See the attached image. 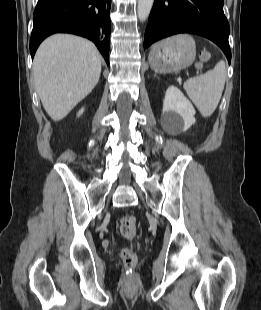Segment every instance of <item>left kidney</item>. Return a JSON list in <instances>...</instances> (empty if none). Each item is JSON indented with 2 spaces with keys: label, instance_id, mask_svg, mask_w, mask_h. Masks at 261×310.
Segmentation results:
<instances>
[{
  "label": "left kidney",
  "instance_id": "obj_1",
  "mask_svg": "<svg viewBox=\"0 0 261 310\" xmlns=\"http://www.w3.org/2000/svg\"><path fill=\"white\" fill-rule=\"evenodd\" d=\"M195 109L180 89L168 87L163 101L161 123L169 132L188 130L195 122Z\"/></svg>",
  "mask_w": 261,
  "mask_h": 310
}]
</instances>
